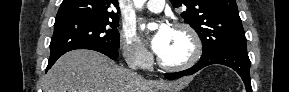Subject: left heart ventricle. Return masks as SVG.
<instances>
[{
  "mask_svg": "<svg viewBox=\"0 0 289 92\" xmlns=\"http://www.w3.org/2000/svg\"><path fill=\"white\" fill-rule=\"evenodd\" d=\"M193 51L189 36L181 30L173 29V33L165 52L160 56L166 63L180 64L187 61Z\"/></svg>",
  "mask_w": 289,
  "mask_h": 92,
  "instance_id": "1",
  "label": "left heart ventricle"
}]
</instances>
